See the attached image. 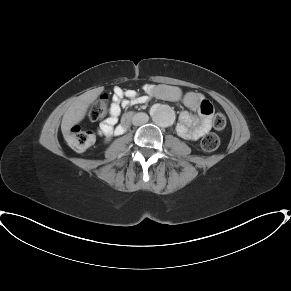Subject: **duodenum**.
<instances>
[{
    "mask_svg": "<svg viewBox=\"0 0 291 291\" xmlns=\"http://www.w3.org/2000/svg\"><path fill=\"white\" fill-rule=\"evenodd\" d=\"M133 116V113L129 112V113H126L123 117V123L121 125V129L122 130H126L127 129V125H128V122L130 121V119L132 118Z\"/></svg>",
    "mask_w": 291,
    "mask_h": 291,
    "instance_id": "410a0bca",
    "label": "duodenum"
}]
</instances>
